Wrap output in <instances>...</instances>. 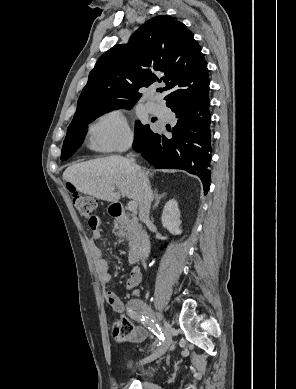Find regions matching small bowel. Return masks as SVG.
<instances>
[{
  "instance_id": "small-bowel-1",
  "label": "small bowel",
  "mask_w": 296,
  "mask_h": 389,
  "mask_svg": "<svg viewBox=\"0 0 296 389\" xmlns=\"http://www.w3.org/2000/svg\"><path fill=\"white\" fill-rule=\"evenodd\" d=\"M102 222L97 218L96 224L90 226L92 229V238L89 241V249L94 259V263L99 274L100 280L107 284L111 279V271L107 261L102 257V250L98 246L97 242L102 236ZM142 274L138 267L133 266L130 270L129 278L126 281L125 287L127 290H134L141 282ZM107 302L117 313H122L125 309L124 303L119 296L111 291H106ZM147 331L143 327H135L132 330L129 340L134 343H141L147 338Z\"/></svg>"
}]
</instances>
